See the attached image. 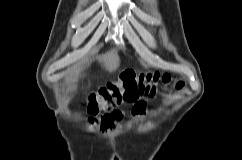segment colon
<instances>
[{
  "instance_id": "5ec220e1",
  "label": "colon",
  "mask_w": 242,
  "mask_h": 160,
  "mask_svg": "<svg viewBox=\"0 0 242 160\" xmlns=\"http://www.w3.org/2000/svg\"><path fill=\"white\" fill-rule=\"evenodd\" d=\"M170 83L171 77L168 73L148 71L136 74L127 71L122 73L118 80L92 91L88 95L86 108L93 116L105 112L106 116L101 119V123L103 120L116 119L119 115L116 107L122 103L136 102L143 95L153 96L159 91L160 85L167 86ZM183 85V81H177L175 87L181 89ZM134 107V114L141 112L142 107ZM90 122L94 124L98 120L92 117Z\"/></svg>"
}]
</instances>
